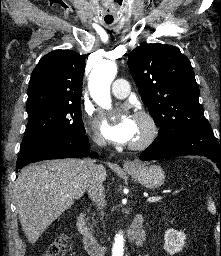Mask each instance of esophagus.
<instances>
[{
	"label": "esophagus",
	"mask_w": 221,
	"mask_h": 256,
	"mask_svg": "<svg viewBox=\"0 0 221 256\" xmlns=\"http://www.w3.org/2000/svg\"><path fill=\"white\" fill-rule=\"evenodd\" d=\"M135 163L133 161L130 160H126L124 161V167H134Z\"/></svg>",
	"instance_id": "esophagus-1"
}]
</instances>
